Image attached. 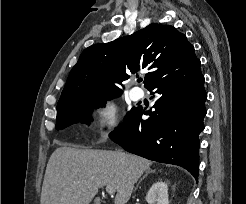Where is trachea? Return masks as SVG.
<instances>
[{"instance_id":"3493384b","label":"trachea","mask_w":246,"mask_h":204,"mask_svg":"<svg viewBox=\"0 0 246 204\" xmlns=\"http://www.w3.org/2000/svg\"><path fill=\"white\" fill-rule=\"evenodd\" d=\"M142 81V79H139L138 82Z\"/></svg>"}]
</instances>
